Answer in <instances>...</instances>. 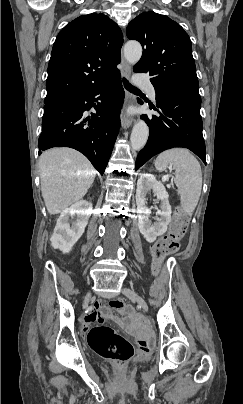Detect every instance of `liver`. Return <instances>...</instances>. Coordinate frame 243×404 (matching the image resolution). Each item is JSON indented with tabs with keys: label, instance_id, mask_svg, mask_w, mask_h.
Returning <instances> with one entry per match:
<instances>
[{
	"label": "liver",
	"instance_id": "6515ba94",
	"mask_svg": "<svg viewBox=\"0 0 243 404\" xmlns=\"http://www.w3.org/2000/svg\"><path fill=\"white\" fill-rule=\"evenodd\" d=\"M39 172L41 192L49 214H59L82 200L96 176L89 160L71 148H52L43 152L39 158Z\"/></svg>",
	"mask_w": 243,
	"mask_h": 404
}]
</instances>
